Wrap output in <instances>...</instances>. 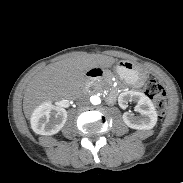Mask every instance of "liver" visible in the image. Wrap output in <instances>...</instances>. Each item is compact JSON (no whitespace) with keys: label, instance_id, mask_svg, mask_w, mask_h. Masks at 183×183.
Segmentation results:
<instances>
[{"label":"liver","instance_id":"6515ba94","mask_svg":"<svg viewBox=\"0 0 183 183\" xmlns=\"http://www.w3.org/2000/svg\"><path fill=\"white\" fill-rule=\"evenodd\" d=\"M115 59L100 54H78L49 64L33 76L26 86L23 110L27 118L45 101H57L81 88L86 73L96 67H110Z\"/></svg>","mask_w":183,"mask_h":183}]
</instances>
